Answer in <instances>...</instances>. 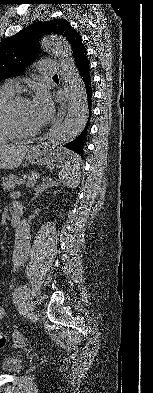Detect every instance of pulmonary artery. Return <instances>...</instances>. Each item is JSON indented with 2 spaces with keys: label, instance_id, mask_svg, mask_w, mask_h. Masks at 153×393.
Segmentation results:
<instances>
[{
  "label": "pulmonary artery",
  "instance_id": "pulmonary-artery-1",
  "mask_svg": "<svg viewBox=\"0 0 153 393\" xmlns=\"http://www.w3.org/2000/svg\"><path fill=\"white\" fill-rule=\"evenodd\" d=\"M51 67H52V63H49L48 61L40 63V70H42L44 72L49 71ZM5 88L10 89L11 91L17 92L20 90L21 86L19 85L18 82L11 80L5 84Z\"/></svg>",
  "mask_w": 153,
  "mask_h": 393
}]
</instances>
